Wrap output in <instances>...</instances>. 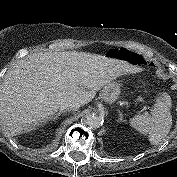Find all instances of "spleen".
<instances>
[{"mask_svg": "<svg viewBox=\"0 0 177 177\" xmlns=\"http://www.w3.org/2000/svg\"><path fill=\"white\" fill-rule=\"evenodd\" d=\"M171 98L162 93L156 98L151 115H136L130 119V126L142 134H148L152 145L159 144L169 133L172 126Z\"/></svg>", "mask_w": 177, "mask_h": 177, "instance_id": "3e777b00", "label": "spleen"}]
</instances>
